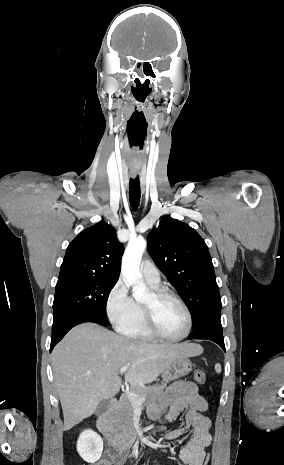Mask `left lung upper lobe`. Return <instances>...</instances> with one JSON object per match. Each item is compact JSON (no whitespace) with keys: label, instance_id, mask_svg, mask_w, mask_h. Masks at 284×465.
Masks as SVG:
<instances>
[{"label":"left lung upper lobe","instance_id":"left-lung-upper-lobe-1","mask_svg":"<svg viewBox=\"0 0 284 465\" xmlns=\"http://www.w3.org/2000/svg\"><path fill=\"white\" fill-rule=\"evenodd\" d=\"M148 251L186 302L193 329L220 317L221 298L212 259L205 241L188 224L164 217L148 238Z\"/></svg>","mask_w":284,"mask_h":465}]
</instances>
